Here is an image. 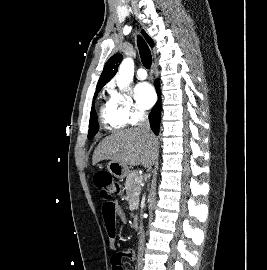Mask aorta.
Instances as JSON below:
<instances>
[{
  "mask_svg": "<svg viewBox=\"0 0 267 270\" xmlns=\"http://www.w3.org/2000/svg\"><path fill=\"white\" fill-rule=\"evenodd\" d=\"M134 76V62L131 58H126L119 66L118 74L116 76L117 86L120 90H124L133 80Z\"/></svg>",
  "mask_w": 267,
  "mask_h": 270,
  "instance_id": "762f6f07",
  "label": "aorta"
}]
</instances>
